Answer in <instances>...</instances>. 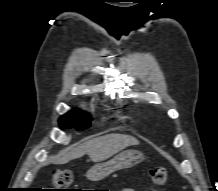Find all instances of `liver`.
<instances>
[{"label":"liver","mask_w":218,"mask_h":191,"mask_svg":"<svg viewBox=\"0 0 218 191\" xmlns=\"http://www.w3.org/2000/svg\"><path fill=\"white\" fill-rule=\"evenodd\" d=\"M132 145H139V141L133 136L116 133L107 134L79 145L62 157H55L53 162L55 164H65L85 154L93 162H101Z\"/></svg>","instance_id":"6515ba94"}]
</instances>
